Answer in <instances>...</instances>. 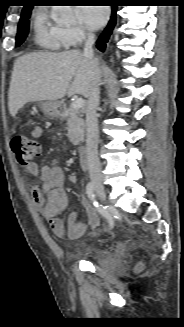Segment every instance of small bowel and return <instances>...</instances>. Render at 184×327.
Masks as SVG:
<instances>
[{
  "label": "small bowel",
  "mask_w": 184,
  "mask_h": 327,
  "mask_svg": "<svg viewBox=\"0 0 184 327\" xmlns=\"http://www.w3.org/2000/svg\"><path fill=\"white\" fill-rule=\"evenodd\" d=\"M30 134L39 138L42 135V129L35 126L31 129ZM26 172L40 179V184L32 186L31 196L34 205L49 221L53 233L58 237L80 238L85 233L86 223L77 219L75 214L69 216L67 225L61 218V214L69 205L68 195L63 187L65 175L62 168L55 161L41 168L32 162L26 166Z\"/></svg>",
  "instance_id": "c3829d8e"
}]
</instances>
